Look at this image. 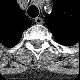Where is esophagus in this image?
Segmentation results:
<instances>
[{
	"label": "esophagus",
	"instance_id": "1",
	"mask_svg": "<svg viewBox=\"0 0 80 80\" xmlns=\"http://www.w3.org/2000/svg\"><path fill=\"white\" fill-rule=\"evenodd\" d=\"M34 21L37 23V24H42L43 20L41 17H37L34 19Z\"/></svg>",
	"mask_w": 80,
	"mask_h": 80
}]
</instances>
